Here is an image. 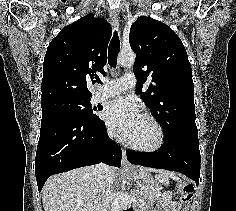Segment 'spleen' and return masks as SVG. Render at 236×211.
I'll return each mask as SVG.
<instances>
[{
  "instance_id": "1",
  "label": "spleen",
  "mask_w": 236,
  "mask_h": 211,
  "mask_svg": "<svg viewBox=\"0 0 236 211\" xmlns=\"http://www.w3.org/2000/svg\"><path fill=\"white\" fill-rule=\"evenodd\" d=\"M172 177H173L172 173L165 172V171H161L155 176V178L165 186H169L170 184L169 178H172Z\"/></svg>"
}]
</instances>
